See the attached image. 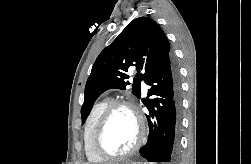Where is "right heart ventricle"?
Wrapping results in <instances>:
<instances>
[{"instance_id": "e07e8e85", "label": "right heart ventricle", "mask_w": 251, "mask_h": 164, "mask_svg": "<svg viewBox=\"0 0 251 164\" xmlns=\"http://www.w3.org/2000/svg\"><path fill=\"white\" fill-rule=\"evenodd\" d=\"M108 105V100H102L94 104L84 123L83 141L85 154L88 161L93 164H99L104 161L103 159L98 157L92 149V136L99 117Z\"/></svg>"}]
</instances>
